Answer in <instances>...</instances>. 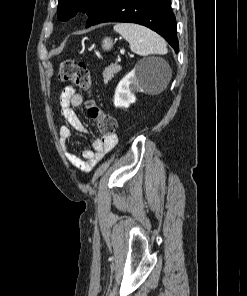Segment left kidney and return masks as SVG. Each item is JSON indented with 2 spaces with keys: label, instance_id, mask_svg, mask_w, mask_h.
<instances>
[{
  "label": "left kidney",
  "instance_id": "obj_1",
  "mask_svg": "<svg viewBox=\"0 0 247 296\" xmlns=\"http://www.w3.org/2000/svg\"><path fill=\"white\" fill-rule=\"evenodd\" d=\"M155 76L142 64H138L128 73L117 85L114 95L115 107L128 108L131 103L136 101L134 92H144L148 83L153 81Z\"/></svg>",
  "mask_w": 247,
  "mask_h": 296
}]
</instances>
